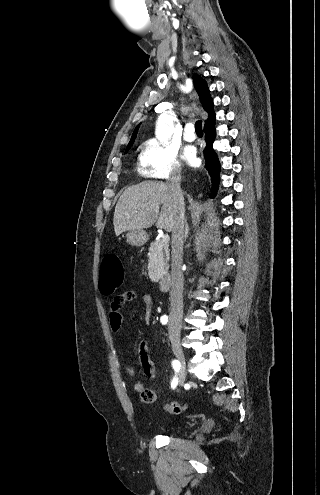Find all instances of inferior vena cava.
<instances>
[{"label":"inferior vena cava","instance_id":"1","mask_svg":"<svg viewBox=\"0 0 320 495\" xmlns=\"http://www.w3.org/2000/svg\"><path fill=\"white\" fill-rule=\"evenodd\" d=\"M181 171L174 170L168 186L177 203L176 216L172 230V261H171V291H170V323L169 330L179 331L183 316V285L182 249L184 239V198L180 189Z\"/></svg>","mask_w":320,"mask_h":495}]
</instances>
